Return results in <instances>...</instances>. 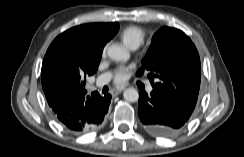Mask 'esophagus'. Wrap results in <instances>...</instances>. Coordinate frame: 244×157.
<instances>
[{
	"label": "esophagus",
	"mask_w": 244,
	"mask_h": 157,
	"mask_svg": "<svg viewBox=\"0 0 244 157\" xmlns=\"http://www.w3.org/2000/svg\"><path fill=\"white\" fill-rule=\"evenodd\" d=\"M124 89H125L124 86H122V87H118V88H115V89H112V90H111V94H112L113 96H116V95H118L119 93H121Z\"/></svg>",
	"instance_id": "esophagus-1"
}]
</instances>
